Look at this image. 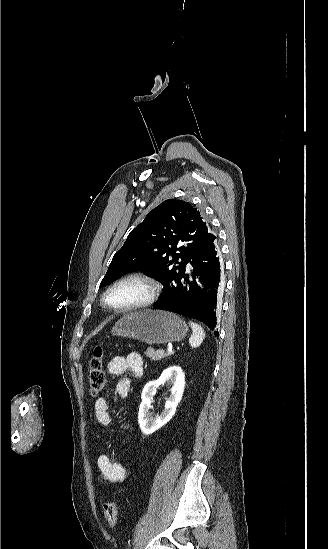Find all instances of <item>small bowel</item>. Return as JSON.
<instances>
[{"label": "small bowel", "instance_id": "c3829d8e", "mask_svg": "<svg viewBox=\"0 0 328 549\" xmlns=\"http://www.w3.org/2000/svg\"><path fill=\"white\" fill-rule=\"evenodd\" d=\"M143 366L144 363L141 355L133 352L129 353L127 356L113 357L108 364V372L112 375H122L126 371H130L135 376H141ZM130 387L131 380L127 377H122L116 383V392L120 397L126 398L129 394ZM94 415L99 424L97 436L98 440L101 442L103 434L110 427L112 422L110 404L106 397H100L95 401ZM96 468L99 477L110 483L123 482L127 477L126 468L122 464L114 462L105 451H102L98 455Z\"/></svg>", "mask_w": 328, "mask_h": 549}]
</instances>
